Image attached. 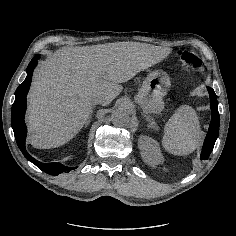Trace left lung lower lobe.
<instances>
[{
    "mask_svg": "<svg viewBox=\"0 0 236 236\" xmlns=\"http://www.w3.org/2000/svg\"><path fill=\"white\" fill-rule=\"evenodd\" d=\"M207 89L210 95V107L212 112V119L202 148L201 159H207L210 153L212 152L215 141L218 137L219 122H220L217 96L212 88L207 87Z\"/></svg>",
    "mask_w": 236,
    "mask_h": 236,
    "instance_id": "1",
    "label": "left lung lower lobe"
}]
</instances>
